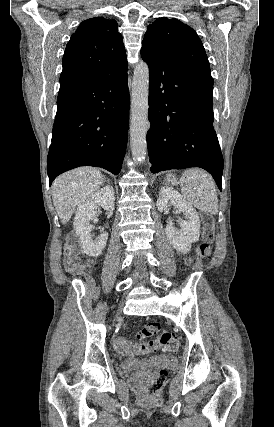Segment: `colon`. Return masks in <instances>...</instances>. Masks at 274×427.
Wrapping results in <instances>:
<instances>
[{
  "label": "colon",
  "instance_id": "obj_1",
  "mask_svg": "<svg viewBox=\"0 0 274 427\" xmlns=\"http://www.w3.org/2000/svg\"><path fill=\"white\" fill-rule=\"evenodd\" d=\"M204 227L202 230V240L197 247L196 257L206 258L210 255L211 245L214 241V219L210 215H205L203 219ZM64 267L68 272H77L81 267L77 256V244L70 238L64 245ZM157 323H148L137 332V339L140 341L137 344L132 343L124 336L117 337L114 341L115 350L120 354H129L137 351L139 356H145L149 349L160 344L164 351L174 353L179 346V341L168 332H162ZM154 335H158L156 340H150L148 344L144 340ZM165 371H159L147 386L140 387L141 395H158L159 389L164 388Z\"/></svg>",
  "mask_w": 274,
  "mask_h": 427
}]
</instances>
